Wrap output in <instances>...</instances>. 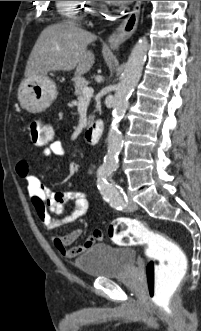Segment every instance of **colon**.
Segmentation results:
<instances>
[{
    "mask_svg": "<svg viewBox=\"0 0 201 331\" xmlns=\"http://www.w3.org/2000/svg\"><path fill=\"white\" fill-rule=\"evenodd\" d=\"M29 136L34 145L49 144L53 139L52 126L44 120H32ZM108 234L117 245L146 246L149 257L145 267L147 296L157 307H168L187 270V260L179 246L146 224L129 218L114 220Z\"/></svg>",
    "mask_w": 201,
    "mask_h": 331,
    "instance_id": "1",
    "label": "colon"
}]
</instances>
